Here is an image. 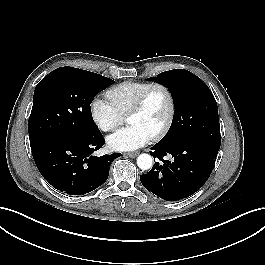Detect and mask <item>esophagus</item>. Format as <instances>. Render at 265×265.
<instances>
[{"label": "esophagus", "instance_id": "34e87169", "mask_svg": "<svg viewBox=\"0 0 265 265\" xmlns=\"http://www.w3.org/2000/svg\"><path fill=\"white\" fill-rule=\"evenodd\" d=\"M138 152H133V153H124L125 156L131 157V158H135L136 156H138Z\"/></svg>", "mask_w": 265, "mask_h": 265}]
</instances>
